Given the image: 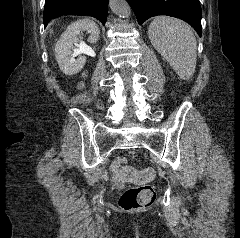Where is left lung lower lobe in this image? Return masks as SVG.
<instances>
[{
    "instance_id": "1",
    "label": "left lung lower lobe",
    "mask_w": 240,
    "mask_h": 238,
    "mask_svg": "<svg viewBox=\"0 0 240 238\" xmlns=\"http://www.w3.org/2000/svg\"><path fill=\"white\" fill-rule=\"evenodd\" d=\"M141 25L148 18L166 15L189 23L201 37V7L199 0H127Z\"/></svg>"
}]
</instances>
